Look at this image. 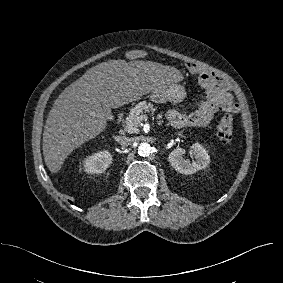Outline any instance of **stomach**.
I'll return each mask as SVG.
<instances>
[{"label": "stomach", "mask_w": 283, "mask_h": 283, "mask_svg": "<svg viewBox=\"0 0 283 283\" xmlns=\"http://www.w3.org/2000/svg\"><path fill=\"white\" fill-rule=\"evenodd\" d=\"M149 97L155 103H180L186 97V91L182 85L171 84L151 91Z\"/></svg>", "instance_id": "stomach-1"}]
</instances>
